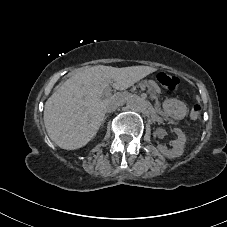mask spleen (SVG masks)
<instances>
[{"instance_id": "spleen-1", "label": "spleen", "mask_w": 227, "mask_h": 227, "mask_svg": "<svg viewBox=\"0 0 227 227\" xmlns=\"http://www.w3.org/2000/svg\"><path fill=\"white\" fill-rule=\"evenodd\" d=\"M195 141H196V137H195L194 135H192V136L189 138L188 143H189V144H193Z\"/></svg>"}]
</instances>
